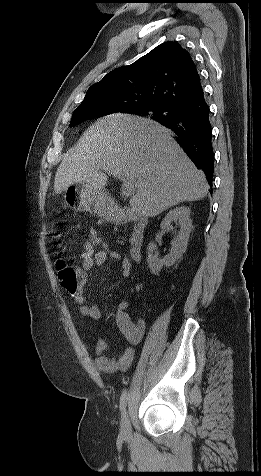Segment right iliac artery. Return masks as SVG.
Instances as JSON below:
<instances>
[{
    "instance_id": "82829eb1",
    "label": "right iliac artery",
    "mask_w": 261,
    "mask_h": 476,
    "mask_svg": "<svg viewBox=\"0 0 261 476\" xmlns=\"http://www.w3.org/2000/svg\"><path fill=\"white\" fill-rule=\"evenodd\" d=\"M127 400H128L127 391L124 390V391L122 392L121 397H120V411H121L122 413H124L125 410H126Z\"/></svg>"
}]
</instances>
